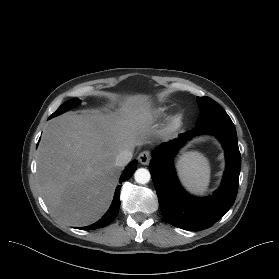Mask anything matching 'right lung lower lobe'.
Returning <instances> with one entry per match:
<instances>
[{"instance_id":"98d812e1","label":"right lung lower lobe","mask_w":279,"mask_h":279,"mask_svg":"<svg viewBox=\"0 0 279 279\" xmlns=\"http://www.w3.org/2000/svg\"><path fill=\"white\" fill-rule=\"evenodd\" d=\"M136 169H137V161L134 160L124 170L122 176L120 177L119 183L121 184L123 181L128 180L133 175V173L135 172ZM120 188H121V185H119L116 188L112 205H111L110 209L107 211V213L98 222H96L90 226H87V227H82L80 229L91 230V229L105 227V226L109 225L116 218V216L119 212V208H120V199H119Z\"/></svg>"}]
</instances>
